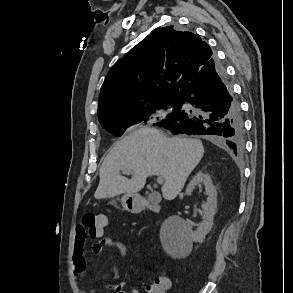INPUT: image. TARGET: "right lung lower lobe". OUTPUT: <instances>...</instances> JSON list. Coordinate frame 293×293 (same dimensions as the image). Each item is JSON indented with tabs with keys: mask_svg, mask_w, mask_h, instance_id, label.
<instances>
[{
	"mask_svg": "<svg viewBox=\"0 0 293 293\" xmlns=\"http://www.w3.org/2000/svg\"><path fill=\"white\" fill-rule=\"evenodd\" d=\"M176 107L154 125L174 134L210 135L236 155L243 152L241 109L227 83L225 70L215 57L182 89Z\"/></svg>",
	"mask_w": 293,
	"mask_h": 293,
	"instance_id": "obj_1",
	"label": "right lung lower lobe"
}]
</instances>
